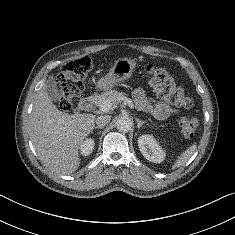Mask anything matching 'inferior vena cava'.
<instances>
[{"label":"inferior vena cava","instance_id":"obj_1","mask_svg":"<svg viewBox=\"0 0 235 235\" xmlns=\"http://www.w3.org/2000/svg\"><path fill=\"white\" fill-rule=\"evenodd\" d=\"M111 120L110 115H100L99 117L96 118V124L98 126H105L107 123H109Z\"/></svg>","mask_w":235,"mask_h":235}]
</instances>
